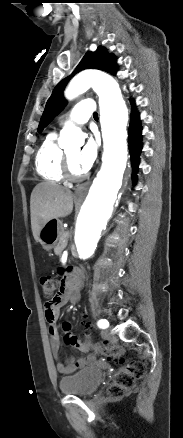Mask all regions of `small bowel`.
Returning <instances> with one entry per match:
<instances>
[{"mask_svg": "<svg viewBox=\"0 0 183 438\" xmlns=\"http://www.w3.org/2000/svg\"><path fill=\"white\" fill-rule=\"evenodd\" d=\"M85 279L86 274L83 270L79 268H69L64 275V280L58 294L45 304V318L48 323L52 353L57 360L61 354L60 336L57 326V322L60 318L61 308L69 300L74 298L75 283L84 281ZM62 329L64 331L65 343L75 350L86 354V356L78 359L69 358L64 363L59 360L57 361L56 367L58 372L63 375H71L77 370L93 363L95 361V357L89 352V345L80 342L71 332V324L69 322H64L62 324Z\"/></svg>", "mask_w": 183, "mask_h": 438, "instance_id": "1", "label": "small bowel"}]
</instances>
